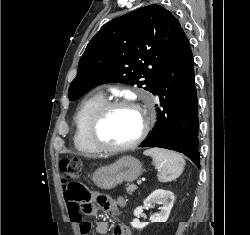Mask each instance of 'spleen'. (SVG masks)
Listing matches in <instances>:
<instances>
[{
	"instance_id": "spleen-1",
	"label": "spleen",
	"mask_w": 250,
	"mask_h": 235,
	"mask_svg": "<svg viewBox=\"0 0 250 235\" xmlns=\"http://www.w3.org/2000/svg\"><path fill=\"white\" fill-rule=\"evenodd\" d=\"M144 155L151 156L153 163L158 168V180L160 182H170L178 178L185 167V160L176 152L150 148L144 151Z\"/></svg>"
}]
</instances>
